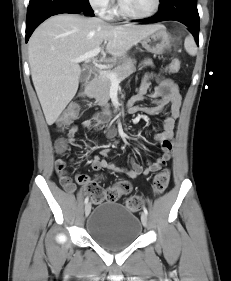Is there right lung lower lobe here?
Here are the masks:
<instances>
[{
	"mask_svg": "<svg viewBox=\"0 0 231 281\" xmlns=\"http://www.w3.org/2000/svg\"><path fill=\"white\" fill-rule=\"evenodd\" d=\"M62 13L94 15L88 0H30L26 19V42L45 19Z\"/></svg>",
	"mask_w": 231,
	"mask_h": 281,
	"instance_id": "obj_1",
	"label": "right lung lower lobe"
}]
</instances>
